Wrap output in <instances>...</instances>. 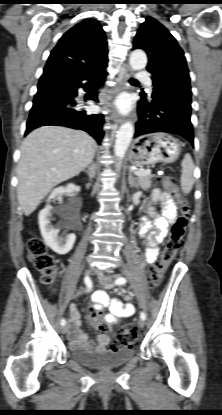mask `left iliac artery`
<instances>
[{
  "instance_id": "44dca946",
  "label": "left iliac artery",
  "mask_w": 222,
  "mask_h": 415,
  "mask_svg": "<svg viewBox=\"0 0 222 415\" xmlns=\"http://www.w3.org/2000/svg\"><path fill=\"white\" fill-rule=\"evenodd\" d=\"M125 283H126V279L124 277H118L114 282L115 285H123ZM140 317H141V319L145 320L146 319L145 312H141Z\"/></svg>"
}]
</instances>
